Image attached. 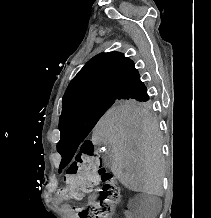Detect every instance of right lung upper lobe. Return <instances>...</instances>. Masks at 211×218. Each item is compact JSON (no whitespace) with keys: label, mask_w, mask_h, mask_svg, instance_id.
<instances>
[{"label":"right lung upper lobe","mask_w":211,"mask_h":218,"mask_svg":"<svg viewBox=\"0 0 211 218\" xmlns=\"http://www.w3.org/2000/svg\"><path fill=\"white\" fill-rule=\"evenodd\" d=\"M132 60L119 52L93 57L70 82L62 99V112L81 102L120 96L124 87L137 75Z\"/></svg>","instance_id":"right-lung-upper-lobe-1"}]
</instances>
